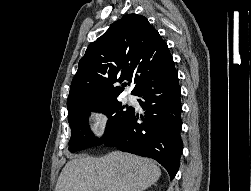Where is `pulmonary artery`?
<instances>
[{
  "label": "pulmonary artery",
  "instance_id": "1",
  "mask_svg": "<svg viewBox=\"0 0 251 191\" xmlns=\"http://www.w3.org/2000/svg\"><path fill=\"white\" fill-rule=\"evenodd\" d=\"M127 99H129V100H133L134 99V97L131 95V94H126V96H125Z\"/></svg>",
  "mask_w": 251,
  "mask_h": 191
}]
</instances>
